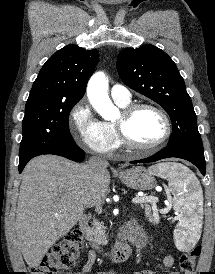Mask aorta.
Returning a JSON list of instances; mask_svg holds the SVG:
<instances>
[{"mask_svg": "<svg viewBox=\"0 0 215 274\" xmlns=\"http://www.w3.org/2000/svg\"><path fill=\"white\" fill-rule=\"evenodd\" d=\"M108 80L103 72L95 73L89 80L87 96L93 108L105 120L118 117L119 110L111 102L108 93Z\"/></svg>", "mask_w": 215, "mask_h": 274, "instance_id": "762f6f07", "label": "aorta"}]
</instances>
